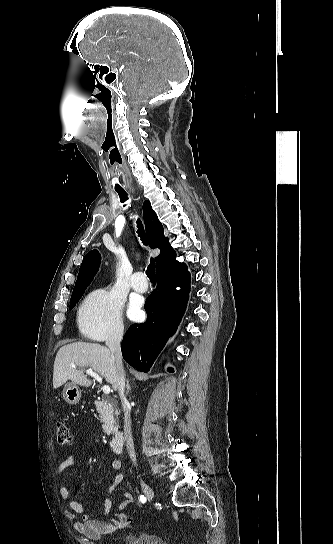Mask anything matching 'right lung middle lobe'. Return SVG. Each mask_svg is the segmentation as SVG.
Listing matches in <instances>:
<instances>
[{
  "label": "right lung middle lobe",
  "mask_w": 333,
  "mask_h": 544,
  "mask_svg": "<svg viewBox=\"0 0 333 544\" xmlns=\"http://www.w3.org/2000/svg\"><path fill=\"white\" fill-rule=\"evenodd\" d=\"M83 293L84 291L72 294L71 300H70V310L76 305V303L79 301Z\"/></svg>",
  "instance_id": "right-lung-middle-lobe-1"
}]
</instances>
